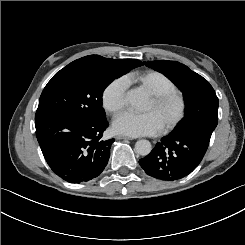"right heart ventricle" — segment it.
Returning a JSON list of instances; mask_svg holds the SVG:
<instances>
[{"label": "right heart ventricle", "mask_w": 245, "mask_h": 245, "mask_svg": "<svg viewBox=\"0 0 245 245\" xmlns=\"http://www.w3.org/2000/svg\"><path fill=\"white\" fill-rule=\"evenodd\" d=\"M123 81L126 85H135L147 92L177 90L175 83L168 76L156 70L137 69L124 75Z\"/></svg>", "instance_id": "1"}]
</instances>
